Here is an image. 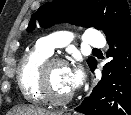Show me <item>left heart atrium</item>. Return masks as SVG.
<instances>
[{
    "label": "left heart atrium",
    "mask_w": 131,
    "mask_h": 115,
    "mask_svg": "<svg viewBox=\"0 0 131 115\" xmlns=\"http://www.w3.org/2000/svg\"><path fill=\"white\" fill-rule=\"evenodd\" d=\"M81 71L79 69L69 70L67 75V81L71 89L78 86L81 81Z\"/></svg>",
    "instance_id": "39dd6f15"
}]
</instances>
